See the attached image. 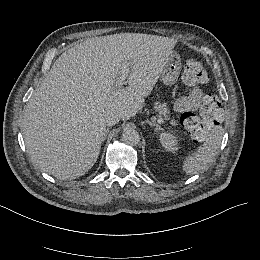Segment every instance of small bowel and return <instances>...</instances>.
<instances>
[{
    "label": "small bowel",
    "mask_w": 260,
    "mask_h": 260,
    "mask_svg": "<svg viewBox=\"0 0 260 260\" xmlns=\"http://www.w3.org/2000/svg\"><path fill=\"white\" fill-rule=\"evenodd\" d=\"M208 95L199 87H189L184 94H178L174 103V110L177 113L187 111L206 110V101Z\"/></svg>",
    "instance_id": "obj_1"
}]
</instances>
